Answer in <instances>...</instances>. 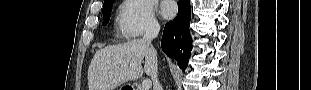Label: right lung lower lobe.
Returning a JSON list of instances; mask_svg holds the SVG:
<instances>
[{
    "mask_svg": "<svg viewBox=\"0 0 311 90\" xmlns=\"http://www.w3.org/2000/svg\"><path fill=\"white\" fill-rule=\"evenodd\" d=\"M190 16V1L179 0L178 15L165 25L161 41L162 50L169 57L176 59L183 70L187 67L192 49L189 32Z\"/></svg>",
    "mask_w": 311,
    "mask_h": 90,
    "instance_id": "98d812e1",
    "label": "right lung lower lobe"
}]
</instances>
